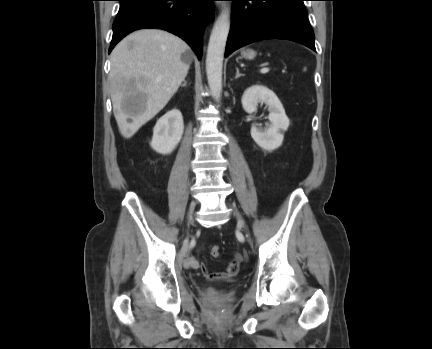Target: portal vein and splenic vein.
<instances>
[{
	"label": "portal vein and splenic vein",
	"mask_w": 432,
	"mask_h": 349,
	"mask_svg": "<svg viewBox=\"0 0 432 349\" xmlns=\"http://www.w3.org/2000/svg\"><path fill=\"white\" fill-rule=\"evenodd\" d=\"M261 73H267L269 72V68L268 67H264L260 70Z\"/></svg>",
	"instance_id": "obj_1"
}]
</instances>
